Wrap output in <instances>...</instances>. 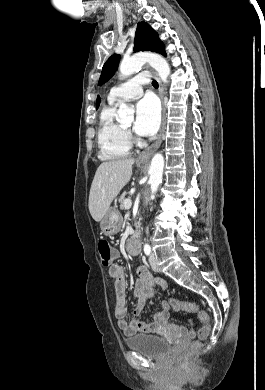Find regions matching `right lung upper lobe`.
<instances>
[{
    "label": "right lung upper lobe",
    "mask_w": 265,
    "mask_h": 390,
    "mask_svg": "<svg viewBox=\"0 0 265 390\" xmlns=\"http://www.w3.org/2000/svg\"><path fill=\"white\" fill-rule=\"evenodd\" d=\"M99 104H100V97L98 96V97H97V100H96V108L99 107Z\"/></svg>",
    "instance_id": "1"
}]
</instances>
